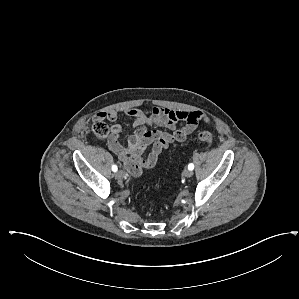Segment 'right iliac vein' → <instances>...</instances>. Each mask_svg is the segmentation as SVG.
<instances>
[{"label":"right iliac vein","mask_w":299,"mask_h":299,"mask_svg":"<svg viewBox=\"0 0 299 299\" xmlns=\"http://www.w3.org/2000/svg\"><path fill=\"white\" fill-rule=\"evenodd\" d=\"M115 177L118 180H123L125 178V172L123 170H119L116 172Z\"/></svg>","instance_id":"right-iliac-vein-1"}]
</instances>
